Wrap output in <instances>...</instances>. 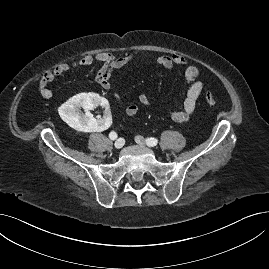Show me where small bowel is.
<instances>
[{
	"mask_svg": "<svg viewBox=\"0 0 269 269\" xmlns=\"http://www.w3.org/2000/svg\"><path fill=\"white\" fill-rule=\"evenodd\" d=\"M142 60H153L156 64L165 69H170L174 66L184 69V79L188 85V89L181 102V107L179 109L172 110L170 112V116L177 123L183 124L188 122L195 111L197 100L204 87V82L197 80L200 75L199 68L195 65H188L187 60L178 54L153 56L146 50H138L126 56H116L108 52H99L96 55L88 54L74 62L62 63L45 71L39 79L38 91L43 98H52L53 92L48 87L50 83L64 73L89 66L94 61H98L101 64L95 76L97 83L104 90H110V77L111 72L114 69L128 67ZM115 97L117 100H120L118 94H115ZM138 102L143 106L150 105V99L145 93H141L138 96ZM138 110L139 106L136 103H131L124 107V111L128 116L136 115Z\"/></svg>",
	"mask_w": 269,
	"mask_h": 269,
	"instance_id": "obj_1",
	"label": "small bowel"
}]
</instances>
